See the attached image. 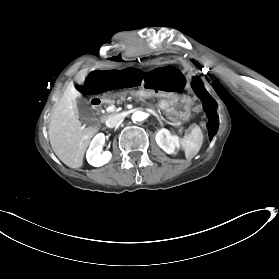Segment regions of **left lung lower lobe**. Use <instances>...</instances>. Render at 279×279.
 <instances>
[{"label":"left lung lower lobe","instance_id":"obj_1","mask_svg":"<svg viewBox=\"0 0 279 279\" xmlns=\"http://www.w3.org/2000/svg\"><path fill=\"white\" fill-rule=\"evenodd\" d=\"M192 87L195 90L196 94L203 100L204 110L206 111L208 122H207V129L209 133L210 140L212 139L214 133L217 129V115H216V104L214 101L210 100L208 96L203 91L201 84L199 83L198 79H194L192 82Z\"/></svg>","mask_w":279,"mask_h":279}]
</instances>
